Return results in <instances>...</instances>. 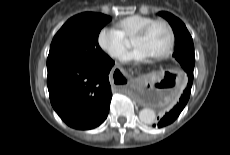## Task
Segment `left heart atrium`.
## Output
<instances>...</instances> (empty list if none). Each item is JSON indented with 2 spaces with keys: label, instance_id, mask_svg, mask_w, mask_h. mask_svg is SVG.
Returning a JSON list of instances; mask_svg holds the SVG:
<instances>
[{
  "label": "left heart atrium",
  "instance_id": "obj_1",
  "mask_svg": "<svg viewBox=\"0 0 230 155\" xmlns=\"http://www.w3.org/2000/svg\"><path fill=\"white\" fill-rule=\"evenodd\" d=\"M150 53L143 47H136L134 50L127 52L122 60L123 62H144L151 58Z\"/></svg>",
  "mask_w": 230,
  "mask_h": 155
}]
</instances>
